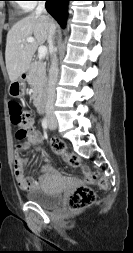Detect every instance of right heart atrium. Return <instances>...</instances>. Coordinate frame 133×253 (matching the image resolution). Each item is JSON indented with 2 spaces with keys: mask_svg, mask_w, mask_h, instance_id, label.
I'll list each match as a JSON object with an SVG mask.
<instances>
[{
  "mask_svg": "<svg viewBox=\"0 0 133 253\" xmlns=\"http://www.w3.org/2000/svg\"><path fill=\"white\" fill-rule=\"evenodd\" d=\"M35 3H36L35 0H21L19 5L21 9L29 11L34 8Z\"/></svg>",
  "mask_w": 133,
  "mask_h": 253,
  "instance_id": "1",
  "label": "right heart atrium"
}]
</instances>
